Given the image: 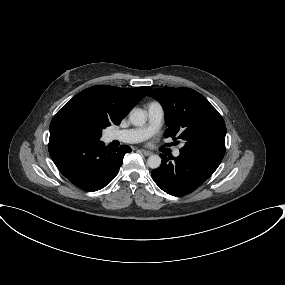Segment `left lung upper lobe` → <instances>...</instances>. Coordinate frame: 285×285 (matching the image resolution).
Segmentation results:
<instances>
[{
    "mask_svg": "<svg viewBox=\"0 0 285 285\" xmlns=\"http://www.w3.org/2000/svg\"><path fill=\"white\" fill-rule=\"evenodd\" d=\"M149 96L159 101L165 111V137L184 141L180 151L223 159L225 122L204 96L189 88H155Z\"/></svg>",
    "mask_w": 285,
    "mask_h": 285,
    "instance_id": "5c2ea615",
    "label": "left lung upper lobe"
}]
</instances>
